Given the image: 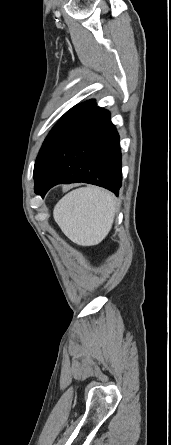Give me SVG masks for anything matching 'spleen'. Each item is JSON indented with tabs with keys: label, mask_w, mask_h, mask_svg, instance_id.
Listing matches in <instances>:
<instances>
[{
	"label": "spleen",
	"mask_w": 171,
	"mask_h": 445,
	"mask_svg": "<svg viewBox=\"0 0 171 445\" xmlns=\"http://www.w3.org/2000/svg\"><path fill=\"white\" fill-rule=\"evenodd\" d=\"M115 210L116 200L110 192L89 186L73 190L59 200L53 217L71 241L92 246L108 235Z\"/></svg>",
	"instance_id": "3e777b00"
}]
</instances>
